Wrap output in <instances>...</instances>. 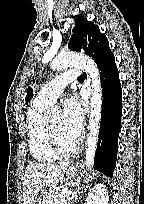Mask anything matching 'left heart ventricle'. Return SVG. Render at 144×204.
<instances>
[{"mask_svg":"<svg viewBox=\"0 0 144 204\" xmlns=\"http://www.w3.org/2000/svg\"><path fill=\"white\" fill-rule=\"evenodd\" d=\"M51 124L63 146L71 147L75 143L76 140L72 139L65 131L62 116L51 119Z\"/></svg>","mask_w":144,"mask_h":204,"instance_id":"b2bd125f","label":"left heart ventricle"}]
</instances>
